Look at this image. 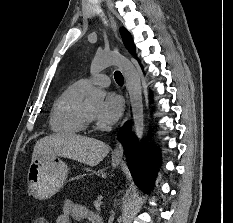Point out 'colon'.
Returning <instances> with one entry per match:
<instances>
[{
    "label": "colon",
    "instance_id": "colon-1",
    "mask_svg": "<svg viewBox=\"0 0 233 223\" xmlns=\"http://www.w3.org/2000/svg\"><path fill=\"white\" fill-rule=\"evenodd\" d=\"M36 223H45V221L43 219H37Z\"/></svg>",
    "mask_w": 233,
    "mask_h": 223
}]
</instances>
